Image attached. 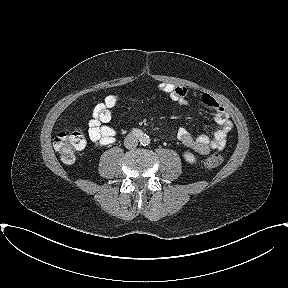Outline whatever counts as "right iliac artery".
I'll return each mask as SVG.
<instances>
[{
	"label": "right iliac artery",
	"mask_w": 288,
	"mask_h": 288,
	"mask_svg": "<svg viewBox=\"0 0 288 288\" xmlns=\"http://www.w3.org/2000/svg\"><path fill=\"white\" fill-rule=\"evenodd\" d=\"M132 134L135 135L136 137L140 138L143 136V132L139 129H133Z\"/></svg>",
	"instance_id": "1"
}]
</instances>
